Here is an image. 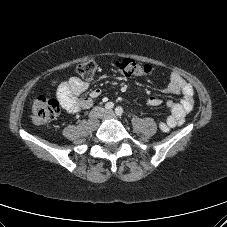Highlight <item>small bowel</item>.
<instances>
[{
  "label": "small bowel",
  "mask_w": 227,
  "mask_h": 227,
  "mask_svg": "<svg viewBox=\"0 0 227 227\" xmlns=\"http://www.w3.org/2000/svg\"><path fill=\"white\" fill-rule=\"evenodd\" d=\"M87 89L88 83L76 77H72L67 82L60 84L57 88V98L61 107L70 114H77L81 110L90 108L93 100L101 95V90L96 88L88 96H83ZM167 92L181 94L182 98L180 101L167 100L166 104L170 109V114L166 121L160 124V129L163 132H168L170 129L183 124L194 105V89L178 73L174 72L171 74ZM146 103L150 107H155L161 103V99L154 95L149 97Z\"/></svg>",
  "instance_id": "obj_1"
}]
</instances>
